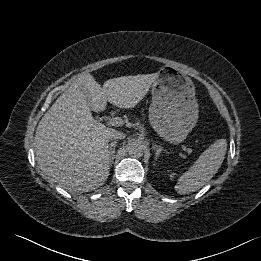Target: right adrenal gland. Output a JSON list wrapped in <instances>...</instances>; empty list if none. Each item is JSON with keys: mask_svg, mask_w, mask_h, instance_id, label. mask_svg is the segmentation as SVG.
Here are the masks:
<instances>
[{"mask_svg": "<svg viewBox=\"0 0 261 261\" xmlns=\"http://www.w3.org/2000/svg\"><path fill=\"white\" fill-rule=\"evenodd\" d=\"M117 145V141H112L110 144H109V160H110V166H112L113 164V160H114V153H115V147Z\"/></svg>", "mask_w": 261, "mask_h": 261, "instance_id": "1", "label": "right adrenal gland"}]
</instances>
